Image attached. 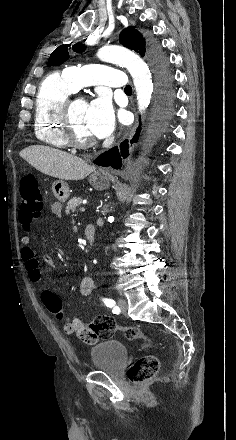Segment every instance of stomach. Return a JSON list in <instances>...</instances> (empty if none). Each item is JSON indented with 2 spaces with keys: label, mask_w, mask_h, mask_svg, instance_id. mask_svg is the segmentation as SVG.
<instances>
[{
  "label": "stomach",
  "mask_w": 236,
  "mask_h": 440,
  "mask_svg": "<svg viewBox=\"0 0 236 440\" xmlns=\"http://www.w3.org/2000/svg\"><path fill=\"white\" fill-rule=\"evenodd\" d=\"M89 183L96 190H105L109 187L110 182L107 173L104 170H94L89 176ZM52 192L55 198L60 202H65L69 198V186L63 180H56L52 184Z\"/></svg>",
  "instance_id": "1"
}]
</instances>
